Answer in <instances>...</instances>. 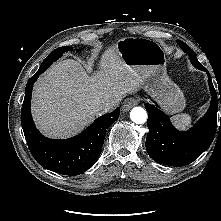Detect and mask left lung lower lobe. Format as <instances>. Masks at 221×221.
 <instances>
[{"label":"left lung lower lobe","instance_id":"left-lung-lower-lobe-1","mask_svg":"<svg viewBox=\"0 0 221 221\" xmlns=\"http://www.w3.org/2000/svg\"><path fill=\"white\" fill-rule=\"evenodd\" d=\"M196 68L207 71L201 64ZM208 74L211 91V105L207 113L188 131H178L169 117L153 105L146 103L148 111L147 125L149 133L146 138V149L156 162L180 167L196 160L212 143L217 128V109L220 99ZM221 127V118H220Z\"/></svg>","mask_w":221,"mask_h":221}]
</instances>
